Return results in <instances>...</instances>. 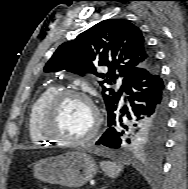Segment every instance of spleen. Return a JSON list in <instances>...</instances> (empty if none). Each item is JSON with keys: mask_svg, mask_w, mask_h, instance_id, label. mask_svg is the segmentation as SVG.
I'll list each match as a JSON object with an SVG mask.
<instances>
[{"mask_svg": "<svg viewBox=\"0 0 188 189\" xmlns=\"http://www.w3.org/2000/svg\"><path fill=\"white\" fill-rule=\"evenodd\" d=\"M100 166L102 170L111 178H116L122 172L123 167L110 161H102L100 162Z\"/></svg>", "mask_w": 188, "mask_h": 189, "instance_id": "spleen-1", "label": "spleen"}]
</instances>
